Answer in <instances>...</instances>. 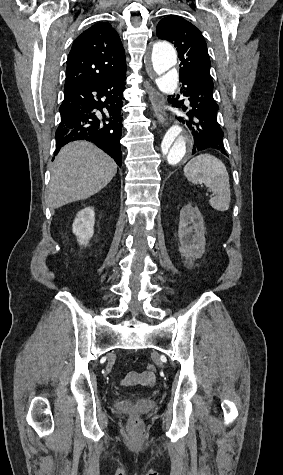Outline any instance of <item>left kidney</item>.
<instances>
[{
    "instance_id": "1",
    "label": "left kidney",
    "mask_w": 283,
    "mask_h": 475,
    "mask_svg": "<svg viewBox=\"0 0 283 475\" xmlns=\"http://www.w3.org/2000/svg\"><path fill=\"white\" fill-rule=\"evenodd\" d=\"M192 224V226H189ZM206 230L203 224V216L198 208L186 204L180 212L178 236L180 241L179 251L185 259L202 257L205 251Z\"/></svg>"
}]
</instances>
